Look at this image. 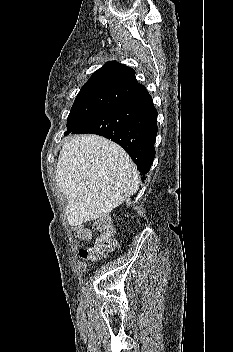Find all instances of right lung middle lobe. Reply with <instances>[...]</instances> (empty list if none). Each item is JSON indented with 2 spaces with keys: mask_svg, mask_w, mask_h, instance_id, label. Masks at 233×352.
Segmentation results:
<instances>
[{
  "mask_svg": "<svg viewBox=\"0 0 233 352\" xmlns=\"http://www.w3.org/2000/svg\"><path fill=\"white\" fill-rule=\"evenodd\" d=\"M136 93L133 88L115 85L82 88L68 116L67 132L76 130L107 108Z\"/></svg>",
  "mask_w": 233,
  "mask_h": 352,
  "instance_id": "dd1d6c3e",
  "label": "right lung middle lobe"
}]
</instances>
